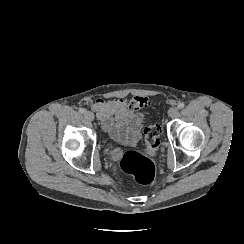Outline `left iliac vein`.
<instances>
[{
	"label": "left iliac vein",
	"mask_w": 244,
	"mask_h": 244,
	"mask_svg": "<svg viewBox=\"0 0 244 244\" xmlns=\"http://www.w3.org/2000/svg\"><path fill=\"white\" fill-rule=\"evenodd\" d=\"M179 113V110L177 107H171L169 110H168V116L169 117H176Z\"/></svg>",
	"instance_id": "4c4485c4"
}]
</instances>
